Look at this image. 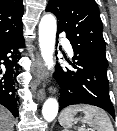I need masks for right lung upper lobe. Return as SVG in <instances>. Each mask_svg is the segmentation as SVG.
I'll return each instance as SVG.
<instances>
[{"label":"right lung upper lobe","instance_id":"cb5924a9","mask_svg":"<svg viewBox=\"0 0 117 131\" xmlns=\"http://www.w3.org/2000/svg\"><path fill=\"white\" fill-rule=\"evenodd\" d=\"M23 0H0V42L22 32Z\"/></svg>","mask_w":117,"mask_h":131}]
</instances>
